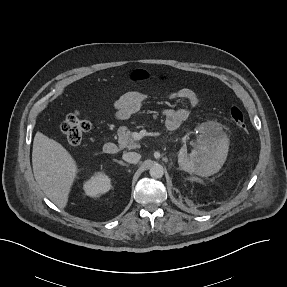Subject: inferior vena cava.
I'll list each match as a JSON object with an SVG mask.
<instances>
[{
	"instance_id": "obj_1",
	"label": "inferior vena cava",
	"mask_w": 287,
	"mask_h": 287,
	"mask_svg": "<svg viewBox=\"0 0 287 287\" xmlns=\"http://www.w3.org/2000/svg\"><path fill=\"white\" fill-rule=\"evenodd\" d=\"M122 157L124 161L135 164L140 160L141 155L136 152H127Z\"/></svg>"
}]
</instances>
